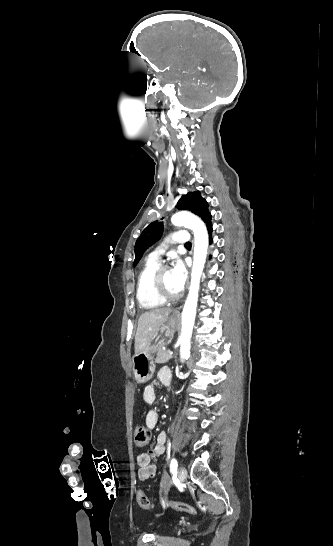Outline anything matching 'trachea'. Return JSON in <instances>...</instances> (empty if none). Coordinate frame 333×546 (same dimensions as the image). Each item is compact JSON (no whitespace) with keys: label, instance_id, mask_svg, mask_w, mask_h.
I'll return each instance as SVG.
<instances>
[{"label":"trachea","instance_id":"1","mask_svg":"<svg viewBox=\"0 0 333 546\" xmlns=\"http://www.w3.org/2000/svg\"><path fill=\"white\" fill-rule=\"evenodd\" d=\"M185 246H186V247H191V242H187V243L185 244Z\"/></svg>","mask_w":333,"mask_h":546}]
</instances>
